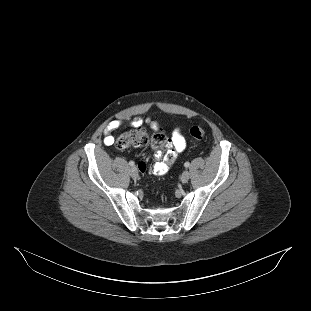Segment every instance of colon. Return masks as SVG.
<instances>
[{"label": "colon", "mask_w": 311, "mask_h": 311, "mask_svg": "<svg viewBox=\"0 0 311 311\" xmlns=\"http://www.w3.org/2000/svg\"><path fill=\"white\" fill-rule=\"evenodd\" d=\"M190 134L193 138L197 140H202L206 137L207 132L204 128L200 126H193L190 128ZM151 143L157 148H167L168 140L162 134H156L150 136L144 127L136 126L132 129L122 133L115 141V146L119 150H124L130 147L144 146ZM138 168L141 173L146 171V164L140 162ZM156 174H164L167 171V166L164 162H157L154 165Z\"/></svg>", "instance_id": "5ec220e1"}]
</instances>
